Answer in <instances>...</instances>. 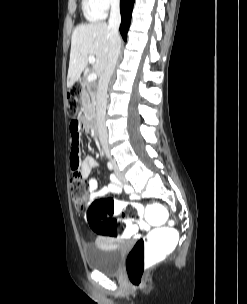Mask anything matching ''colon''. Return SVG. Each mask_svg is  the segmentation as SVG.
I'll return each mask as SVG.
<instances>
[{"label":"colon","instance_id":"colon-1","mask_svg":"<svg viewBox=\"0 0 247 304\" xmlns=\"http://www.w3.org/2000/svg\"><path fill=\"white\" fill-rule=\"evenodd\" d=\"M81 86L74 85L67 93V108L71 112H80ZM79 120V119H72ZM71 155V152H70ZM70 190L75 206L87 212L91 229L100 236L121 238L133 235L135 230L128 221L117 220L112 216L120 214L127 220H144L152 225L149 233L136 241L126 259V272L130 283L140 287L146 266L154 259H163L164 253H173L178 244V227L175 215L169 214L165 202H148L144 206L134 202H121L113 198H98L88 205L87 186L84 180L74 174L70 181Z\"/></svg>","mask_w":247,"mask_h":304}]
</instances>
